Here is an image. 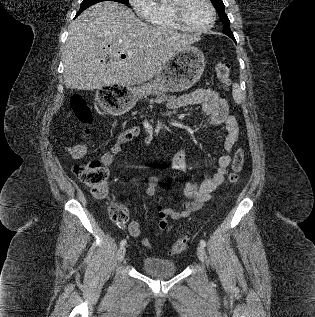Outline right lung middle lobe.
Listing matches in <instances>:
<instances>
[{
  "label": "right lung middle lobe",
  "instance_id": "dd1d6c3e",
  "mask_svg": "<svg viewBox=\"0 0 315 317\" xmlns=\"http://www.w3.org/2000/svg\"><path fill=\"white\" fill-rule=\"evenodd\" d=\"M102 1H115V2L122 3V4H129V0H83V2L81 3V7H80L78 14H80L82 11H84L85 9L90 7L91 5L96 4L98 2H102Z\"/></svg>",
  "mask_w": 315,
  "mask_h": 317
}]
</instances>
